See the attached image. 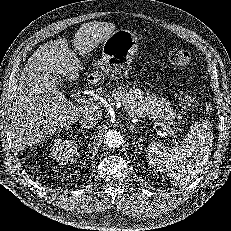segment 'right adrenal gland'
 Returning a JSON list of instances; mask_svg holds the SVG:
<instances>
[{
    "mask_svg": "<svg viewBox=\"0 0 231 231\" xmlns=\"http://www.w3.org/2000/svg\"><path fill=\"white\" fill-rule=\"evenodd\" d=\"M79 130H81V132H83V134H85L87 131L84 130L83 127H81V129L79 128Z\"/></svg>",
    "mask_w": 231,
    "mask_h": 231,
    "instance_id": "obj_1",
    "label": "right adrenal gland"
}]
</instances>
